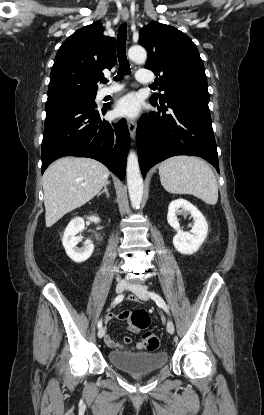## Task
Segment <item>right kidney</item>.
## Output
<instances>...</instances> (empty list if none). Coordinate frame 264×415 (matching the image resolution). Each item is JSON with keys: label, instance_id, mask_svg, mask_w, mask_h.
<instances>
[{"label": "right kidney", "instance_id": "1", "mask_svg": "<svg viewBox=\"0 0 264 415\" xmlns=\"http://www.w3.org/2000/svg\"><path fill=\"white\" fill-rule=\"evenodd\" d=\"M88 219L94 223L100 222V219L96 216H90ZM84 228V219L76 217L67 225L62 239V244L65 248L66 254L76 263H81L89 259L94 250V245L91 240H86L83 248L77 247V244L81 241V238L76 235Z\"/></svg>", "mask_w": 264, "mask_h": 415}]
</instances>
